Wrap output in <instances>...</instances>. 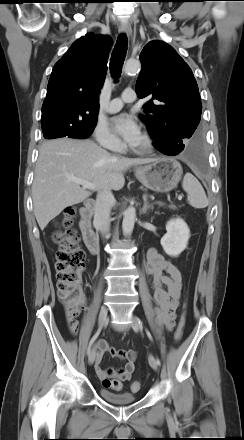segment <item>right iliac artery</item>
Masks as SVG:
<instances>
[{"instance_id":"82829eb1","label":"right iliac artery","mask_w":244,"mask_h":440,"mask_svg":"<svg viewBox=\"0 0 244 440\" xmlns=\"http://www.w3.org/2000/svg\"><path fill=\"white\" fill-rule=\"evenodd\" d=\"M101 329H102V328H99V329L96 331V333L93 335L92 339L90 340V343H89V346H88V349H87V355H88V356L90 355V353H91V351H92L93 344H94L95 340L98 338V336H99V334H100V332H101Z\"/></svg>"}]
</instances>
